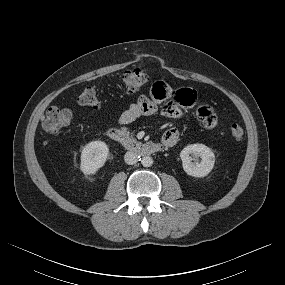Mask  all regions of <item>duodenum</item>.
<instances>
[{"label": "duodenum", "mask_w": 285, "mask_h": 285, "mask_svg": "<svg viewBox=\"0 0 285 285\" xmlns=\"http://www.w3.org/2000/svg\"><path fill=\"white\" fill-rule=\"evenodd\" d=\"M107 136L119 143L125 149L135 152L137 154L148 156L155 153H158L163 150L164 144L160 142H135L132 141L122 130L117 128H110L107 130Z\"/></svg>", "instance_id": "410a0bca"}]
</instances>
